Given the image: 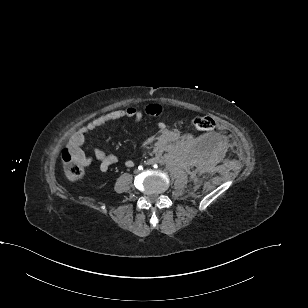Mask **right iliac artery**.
Returning <instances> with one entry per match:
<instances>
[{"label": "right iliac artery", "mask_w": 308, "mask_h": 308, "mask_svg": "<svg viewBox=\"0 0 308 308\" xmlns=\"http://www.w3.org/2000/svg\"><path fill=\"white\" fill-rule=\"evenodd\" d=\"M138 169L141 170V169H143V167H142V166H139Z\"/></svg>", "instance_id": "right-iliac-artery-1"}]
</instances>
